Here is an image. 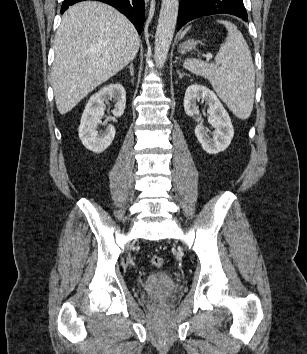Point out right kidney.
Here are the masks:
<instances>
[{
    "instance_id": "1",
    "label": "right kidney",
    "mask_w": 307,
    "mask_h": 354,
    "mask_svg": "<svg viewBox=\"0 0 307 354\" xmlns=\"http://www.w3.org/2000/svg\"><path fill=\"white\" fill-rule=\"evenodd\" d=\"M113 100L115 108L112 111L115 117L123 115L126 104V92L119 83L103 87L92 95L84 109L79 126V138L83 145L94 153H102L115 137V127L109 124L103 132L98 133L96 128L104 115L105 103Z\"/></svg>"
}]
</instances>
